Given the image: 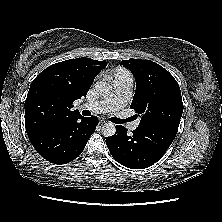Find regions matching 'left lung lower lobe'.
Wrapping results in <instances>:
<instances>
[{"instance_id":"0a47b994","label":"left lung lower lobe","mask_w":222,"mask_h":222,"mask_svg":"<svg viewBox=\"0 0 222 222\" xmlns=\"http://www.w3.org/2000/svg\"><path fill=\"white\" fill-rule=\"evenodd\" d=\"M117 125L107 147L116 161L131 169H144L156 163L173 142L177 130L170 127H137L132 135Z\"/></svg>"}]
</instances>
